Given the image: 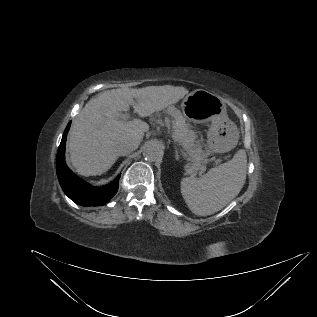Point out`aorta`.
Segmentation results:
<instances>
[{
	"label": "aorta",
	"mask_w": 317,
	"mask_h": 317,
	"mask_svg": "<svg viewBox=\"0 0 317 317\" xmlns=\"http://www.w3.org/2000/svg\"><path fill=\"white\" fill-rule=\"evenodd\" d=\"M143 156L147 161L155 162L161 158L162 150L156 142L150 141L144 146Z\"/></svg>",
	"instance_id": "762f6f07"
}]
</instances>
